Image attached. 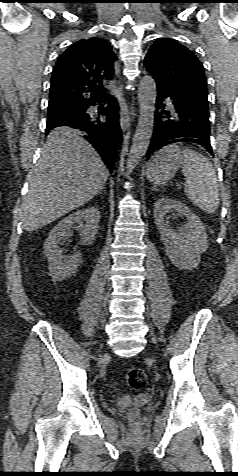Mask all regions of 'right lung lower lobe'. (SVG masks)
I'll return each instance as SVG.
<instances>
[{
	"label": "right lung lower lobe",
	"mask_w": 238,
	"mask_h": 476,
	"mask_svg": "<svg viewBox=\"0 0 238 476\" xmlns=\"http://www.w3.org/2000/svg\"><path fill=\"white\" fill-rule=\"evenodd\" d=\"M112 97L113 96L108 94L98 101H108L107 107L99 111L104 118L103 120L85 113L66 122L58 124L47 123L46 133L58 126H68L85 131L88 134L86 139L98 151L111 171L114 166L117 149L122 142V133L119 125V109L116 100Z\"/></svg>",
	"instance_id": "obj_1"
}]
</instances>
